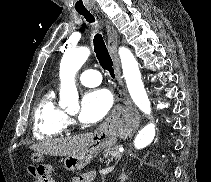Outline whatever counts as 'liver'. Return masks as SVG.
Returning a JSON list of instances; mask_svg holds the SVG:
<instances>
[{
	"mask_svg": "<svg viewBox=\"0 0 211 182\" xmlns=\"http://www.w3.org/2000/svg\"><path fill=\"white\" fill-rule=\"evenodd\" d=\"M93 133L67 138L49 139L31 146L39 154L51 156H69L84 149L91 141Z\"/></svg>",
	"mask_w": 211,
	"mask_h": 182,
	"instance_id": "liver-1",
	"label": "liver"
}]
</instances>
